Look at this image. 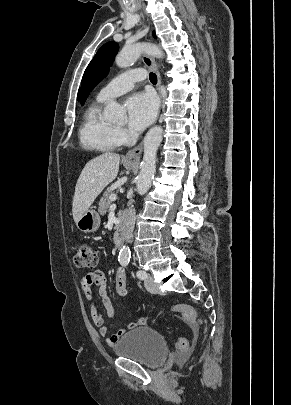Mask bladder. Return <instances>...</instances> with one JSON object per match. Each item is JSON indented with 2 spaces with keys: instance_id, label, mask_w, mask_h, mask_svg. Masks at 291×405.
<instances>
[{
  "instance_id": "1",
  "label": "bladder",
  "mask_w": 291,
  "mask_h": 405,
  "mask_svg": "<svg viewBox=\"0 0 291 405\" xmlns=\"http://www.w3.org/2000/svg\"><path fill=\"white\" fill-rule=\"evenodd\" d=\"M114 352L117 356L156 368L166 360L169 349L162 334L151 327L141 326L121 337L114 345Z\"/></svg>"
}]
</instances>
